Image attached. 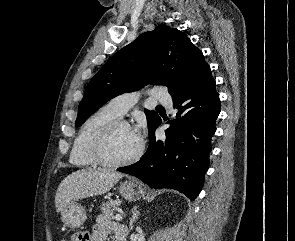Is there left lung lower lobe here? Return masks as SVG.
I'll use <instances>...</instances> for the list:
<instances>
[{
  "instance_id": "left-lung-lower-lobe-1",
  "label": "left lung lower lobe",
  "mask_w": 295,
  "mask_h": 241,
  "mask_svg": "<svg viewBox=\"0 0 295 241\" xmlns=\"http://www.w3.org/2000/svg\"><path fill=\"white\" fill-rule=\"evenodd\" d=\"M172 98L178 111L175 119L167 122L166 139L158 140L154 135L160 118L149 134L150 144L143 157L117 170L136 176L152 188L175 189L195 200L208 170L210 142L221 102L211 75Z\"/></svg>"
}]
</instances>
